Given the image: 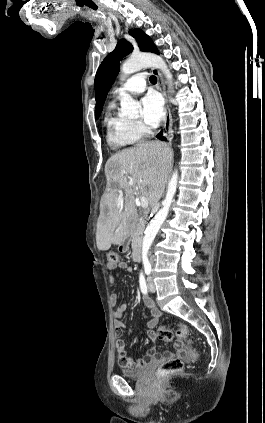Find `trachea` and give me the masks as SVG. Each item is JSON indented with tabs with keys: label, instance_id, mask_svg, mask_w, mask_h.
I'll return each mask as SVG.
<instances>
[{
	"label": "trachea",
	"instance_id": "1",
	"mask_svg": "<svg viewBox=\"0 0 265 423\" xmlns=\"http://www.w3.org/2000/svg\"><path fill=\"white\" fill-rule=\"evenodd\" d=\"M149 80H150V82L152 84H156L157 83V78L155 76H151Z\"/></svg>",
	"mask_w": 265,
	"mask_h": 423
}]
</instances>
